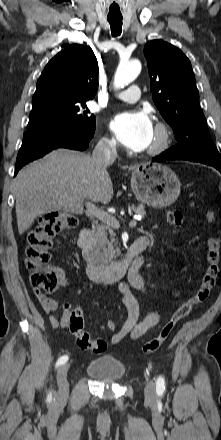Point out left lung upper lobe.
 Returning <instances> with one entry per match:
<instances>
[{
    "mask_svg": "<svg viewBox=\"0 0 221 440\" xmlns=\"http://www.w3.org/2000/svg\"><path fill=\"white\" fill-rule=\"evenodd\" d=\"M144 55L153 101L172 127L178 142L168 151L185 160L221 164V155L211 139L199 105L189 59L180 49L162 40L146 43Z\"/></svg>",
    "mask_w": 221,
    "mask_h": 440,
    "instance_id": "left-lung-upper-lobe-1",
    "label": "left lung upper lobe"
}]
</instances>
